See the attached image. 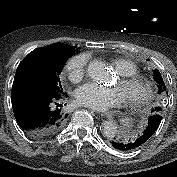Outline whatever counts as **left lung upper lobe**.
<instances>
[{"label": "left lung upper lobe", "mask_w": 177, "mask_h": 177, "mask_svg": "<svg viewBox=\"0 0 177 177\" xmlns=\"http://www.w3.org/2000/svg\"><path fill=\"white\" fill-rule=\"evenodd\" d=\"M154 78H155V81L157 82L159 97L160 99H164L166 95L168 96V92L166 91V85L158 70H154ZM161 110H162L161 108L158 110L159 114H161L160 112Z\"/></svg>", "instance_id": "5c2ea615"}]
</instances>
